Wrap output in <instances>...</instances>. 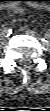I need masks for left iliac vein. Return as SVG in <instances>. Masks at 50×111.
<instances>
[{
	"label": "left iliac vein",
	"mask_w": 50,
	"mask_h": 111,
	"mask_svg": "<svg viewBox=\"0 0 50 111\" xmlns=\"http://www.w3.org/2000/svg\"><path fill=\"white\" fill-rule=\"evenodd\" d=\"M26 34L38 39L39 41L42 40L41 37L37 33H35L34 31H32V30H26ZM43 46L47 47L48 45H46V43H43Z\"/></svg>",
	"instance_id": "4c4485c4"
}]
</instances>
